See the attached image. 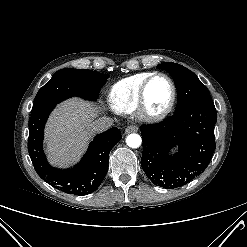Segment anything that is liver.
Listing matches in <instances>:
<instances>
[{
	"label": "liver",
	"mask_w": 247,
	"mask_h": 247,
	"mask_svg": "<svg viewBox=\"0 0 247 247\" xmlns=\"http://www.w3.org/2000/svg\"><path fill=\"white\" fill-rule=\"evenodd\" d=\"M99 109L79 98L57 106L45 129L46 152L52 164L66 166L78 160L91 138L90 124Z\"/></svg>",
	"instance_id": "liver-1"
}]
</instances>
